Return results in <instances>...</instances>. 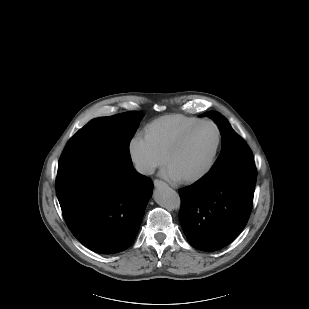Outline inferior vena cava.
<instances>
[{"mask_svg":"<svg viewBox=\"0 0 309 309\" xmlns=\"http://www.w3.org/2000/svg\"><path fill=\"white\" fill-rule=\"evenodd\" d=\"M136 170L141 174L151 175L154 173L155 168L147 164H136Z\"/></svg>","mask_w":309,"mask_h":309,"instance_id":"obj_1","label":"inferior vena cava"}]
</instances>
